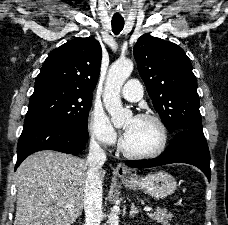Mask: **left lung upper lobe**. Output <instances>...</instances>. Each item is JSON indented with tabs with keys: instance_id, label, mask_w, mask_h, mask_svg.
I'll list each match as a JSON object with an SVG mask.
<instances>
[{
	"instance_id": "left-lung-upper-lobe-1",
	"label": "left lung upper lobe",
	"mask_w": 228,
	"mask_h": 225,
	"mask_svg": "<svg viewBox=\"0 0 228 225\" xmlns=\"http://www.w3.org/2000/svg\"><path fill=\"white\" fill-rule=\"evenodd\" d=\"M134 57L152 104L168 131L202 130L197 80L184 50L146 33L135 44Z\"/></svg>"
}]
</instances>
